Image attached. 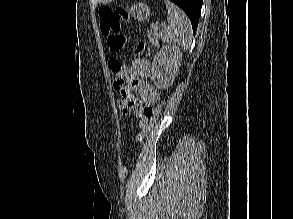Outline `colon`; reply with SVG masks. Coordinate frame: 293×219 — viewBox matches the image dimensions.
Wrapping results in <instances>:
<instances>
[{"mask_svg":"<svg viewBox=\"0 0 293 219\" xmlns=\"http://www.w3.org/2000/svg\"><path fill=\"white\" fill-rule=\"evenodd\" d=\"M100 29L102 33L107 36L108 45L114 50H120L125 44V37L120 33V19L126 18L127 13L122 7L111 9L102 7L99 9ZM144 50L143 46H138L135 50L136 54H141ZM110 72L115 78L116 86L121 85L123 65L118 59H110L108 62ZM162 104L157 105L151 110V118L149 123L138 133L136 140L138 143L142 142L145 136L150 132L153 124L157 121Z\"/></svg>","mask_w":293,"mask_h":219,"instance_id":"5ec220e1","label":"colon"}]
</instances>
